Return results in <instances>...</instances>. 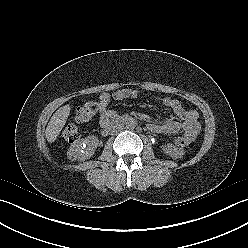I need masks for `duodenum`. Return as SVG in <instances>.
I'll return each mask as SVG.
<instances>
[{
	"label": "duodenum",
	"mask_w": 248,
	"mask_h": 248,
	"mask_svg": "<svg viewBox=\"0 0 248 248\" xmlns=\"http://www.w3.org/2000/svg\"><path fill=\"white\" fill-rule=\"evenodd\" d=\"M133 120L130 116H118L115 117L111 122L107 123L103 128V134L108 135L117 125H124Z\"/></svg>",
	"instance_id": "obj_1"
}]
</instances>
